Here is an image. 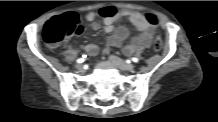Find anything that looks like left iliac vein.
Returning <instances> with one entry per match:
<instances>
[{
  "instance_id": "1",
  "label": "left iliac vein",
  "mask_w": 218,
  "mask_h": 122,
  "mask_svg": "<svg viewBox=\"0 0 218 122\" xmlns=\"http://www.w3.org/2000/svg\"><path fill=\"white\" fill-rule=\"evenodd\" d=\"M109 58L121 70L130 71L134 69V65L125 62L115 55H110Z\"/></svg>"
}]
</instances>
